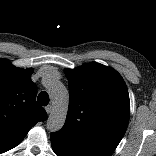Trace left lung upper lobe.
<instances>
[{
	"label": "left lung upper lobe",
	"instance_id": "obj_1",
	"mask_svg": "<svg viewBox=\"0 0 156 156\" xmlns=\"http://www.w3.org/2000/svg\"><path fill=\"white\" fill-rule=\"evenodd\" d=\"M65 75L70 101L65 124L57 133L109 156L129 122L130 100L123 78L99 63L66 69Z\"/></svg>",
	"mask_w": 156,
	"mask_h": 156
}]
</instances>
